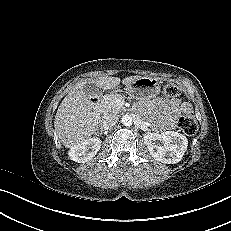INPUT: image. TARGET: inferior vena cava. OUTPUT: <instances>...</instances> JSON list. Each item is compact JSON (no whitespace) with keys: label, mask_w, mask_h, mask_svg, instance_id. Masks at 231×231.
<instances>
[{"label":"inferior vena cava","mask_w":231,"mask_h":231,"mask_svg":"<svg viewBox=\"0 0 231 231\" xmlns=\"http://www.w3.org/2000/svg\"><path fill=\"white\" fill-rule=\"evenodd\" d=\"M118 121V116L116 114H107L103 117L102 125L104 129H108L114 126Z\"/></svg>","instance_id":"1"}]
</instances>
